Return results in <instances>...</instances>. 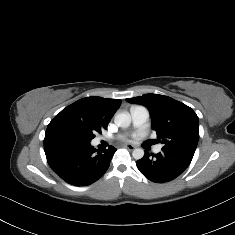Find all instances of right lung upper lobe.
<instances>
[{"mask_svg": "<svg viewBox=\"0 0 235 235\" xmlns=\"http://www.w3.org/2000/svg\"><path fill=\"white\" fill-rule=\"evenodd\" d=\"M121 105L117 99L86 97L64 108L49 123L45 135L61 131V126L68 120L91 121L106 129L114 113Z\"/></svg>", "mask_w": 235, "mask_h": 235, "instance_id": "right-lung-upper-lobe-1", "label": "right lung upper lobe"}]
</instances>
